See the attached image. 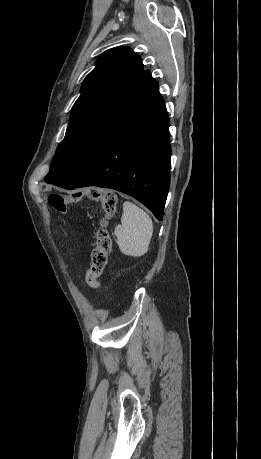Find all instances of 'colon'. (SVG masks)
<instances>
[{
	"label": "colon",
	"mask_w": 261,
	"mask_h": 459,
	"mask_svg": "<svg viewBox=\"0 0 261 459\" xmlns=\"http://www.w3.org/2000/svg\"><path fill=\"white\" fill-rule=\"evenodd\" d=\"M82 197H90L101 202L104 217L100 221V228L96 233L95 247L91 253V265L86 273L87 284L94 289L106 290L100 277L107 265L112 248V241L107 230L108 220L117 209V197L112 191H99L98 188H72V194H51L49 203L61 215H65L72 203L78 202Z\"/></svg>",
	"instance_id": "colon-1"
}]
</instances>
